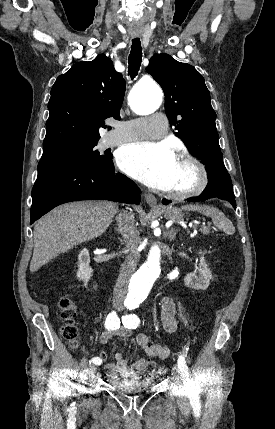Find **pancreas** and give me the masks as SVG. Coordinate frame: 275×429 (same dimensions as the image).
Returning a JSON list of instances; mask_svg holds the SVG:
<instances>
[{"mask_svg":"<svg viewBox=\"0 0 275 429\" xmlns=\"http://www.w3.org/2000/svg\"><path fill=\"white\" fill-rule=\"evenodd\" d=\"M200 231L204 234V235H208L210 234V229L209 228H201Z\"/></svg>","mask_w":275,"mask_h":429,"instance_id":"obj_1","label":"pancreas"}]
</instances>
